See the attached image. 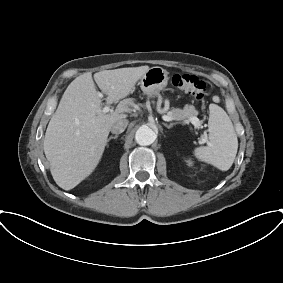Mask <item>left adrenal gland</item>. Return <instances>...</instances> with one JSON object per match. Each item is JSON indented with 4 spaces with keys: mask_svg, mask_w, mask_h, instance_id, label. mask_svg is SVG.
Returning <instances> with one entry per match:
<instances>
[{
    "mask_svg": "<svg viewBox=\"0 0 283 283\" xmlns=\"http://www.w3.org/2000/svg\"><path fill=\"white\" fill-rule=\"evenodd\" d=\"M176 124H178V123L176 122V123L164 124V126L167 127L168 129H170Z\"/></svg>",
    "mask_w": 283,
    "mask_h": 283,
    "instance_id": "left-adrenal-gland-1",
    "label": "left adrenal gland"
}]
</instances>
